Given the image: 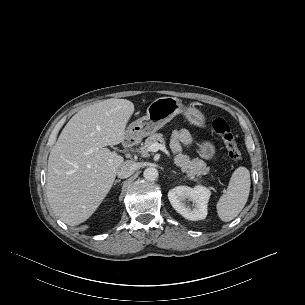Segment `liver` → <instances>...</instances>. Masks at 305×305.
<instances>
[{
  "label": "liver",
  "instance_id": "1",
  "mask_svg": "<svg viewBox=\"0 0 305 305\" xmlns=\"http://www.w3.org/2000/svg\"><path fill=\"white\" fill-rule=\"evenodd\" d=\"M134 104L107 99L77 112L48 158L46 191L54 213L67 225L85 222L110 191L123 158L106 148L126 138Z\"/></svg>",
  "mask_w": 305,
  "mask_h": 305
}]
</instances>
